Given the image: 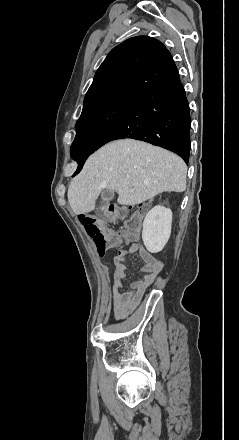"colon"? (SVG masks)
Listing matches in <instances>:
<instances>
[{
    "instance_id": "1",
    "label": "colon",
    "mask_w": 239,
    "mask_h": 440,
    "mask_svg": "<svg viewBox=\"0 0 239 440\" xmlns=\"http://www.w3.org/2000/svg\"><path fill=\"white\" fill-rule=\"evenodd\" d=\"M142 206L110 207L101 215H82L80 221L86 233L92 238L99 255L104 256L109 250L116 248L123 240H133L140 229L136 215ZM125 221L124 228L118 233L106 227V222Z\"/></svg>"
}]
</instances>
